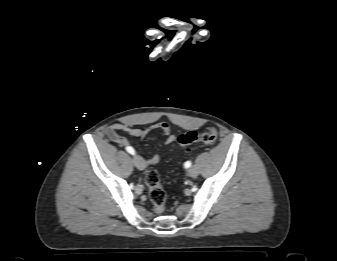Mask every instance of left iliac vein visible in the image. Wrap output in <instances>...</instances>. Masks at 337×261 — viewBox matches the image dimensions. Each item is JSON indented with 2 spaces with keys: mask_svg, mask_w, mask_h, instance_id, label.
I'll use <instances>...</instances> for the list:
<instances>
[{
  "mask_svg": "<svg viewBox=\"0 0 337 261\" xmlns=\"http://www.w3.org/2000/svg\"><path fill=\"white\" fill-rule=\"evenodd\" d=\"M188 174L193 177L196 178L199 174V171L196 167H191L190 169H188Z\"/></svg>",
  "mask_w": 337,
  "mask_h": 261,
  "instance_id": "left-iliac-vein-1",
  "label": "left iliac vein"
}]
</instances>
